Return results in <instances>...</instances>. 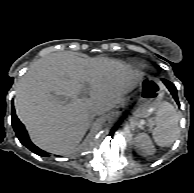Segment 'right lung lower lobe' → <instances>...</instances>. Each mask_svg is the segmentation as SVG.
<instances>
[{
    "instance_id": "98d812e1",
    "label": "right lung lower lobe",
    "mask_w": 194,
    "mask_h": 193,
    "mask_svg": "<svg viewBox=\"0 0 194 193\" xmlns=\"http://www.w3.org/2000/svg\"><path fill=\"white\" fill-rule=\"evenodd\" d=\"M12 125L15 130V133L20 140V142L26 146L28 149H30L32 152H34L37 155L40 156H49V154L35 146L29 139L27 131L24 128V125L19 121V119L16 117L15 110L12 106Z\"/></svg>"
}]
</instances>
